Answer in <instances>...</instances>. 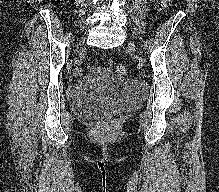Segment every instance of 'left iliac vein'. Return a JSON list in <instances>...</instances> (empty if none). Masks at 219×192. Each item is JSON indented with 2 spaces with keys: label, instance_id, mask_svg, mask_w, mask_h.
Instances as JSON below:
<instances>
[{
  "label": "left iliac vein",
  "instance_id": "4c4485c4",
  "mask_svg": "<svg viewBox=\"0 0 219 192\" xmlns=\"http://www.w3.org/2000/svg\"><path fill=\"white\" fill-rule=\"evenodd\" d=\"M130 47H131V48L134 47V44H133V43H130Z\"/></svg>",
  "mask_w": 219,
  "mask_h": 192
}]
</instances>
